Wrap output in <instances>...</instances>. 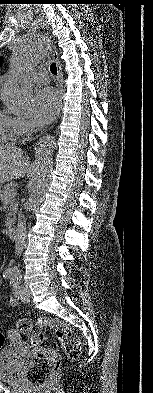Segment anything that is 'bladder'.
I'll list each match as a JSON object with an SVG mask.
<instances>
[{
  "label": "bladder",
  "mask_w": 153,
  "mask_h": 393,
  "mask_svg": "<svg viewBox=\"0 0 153 393\" xmlns=\"http://www.w3.org/2000/svg\"><path fill=\"white\" fill-rule=\"evenodd\" d=\"M21 363L16 360L13 347L0 350V381L15 385L20 382Z\"/></svg>",
  "instance_id": "1"
}]
</instances>
